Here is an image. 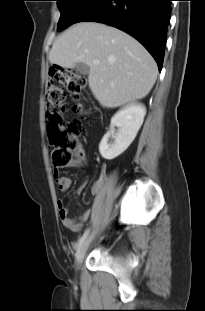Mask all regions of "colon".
I'll return each mask as SVG.
<instances>
[{
    "label": "colon",
    "mask_w": 205,
    "mask_h": 311,
    "mask_svg": "<svg viewBox=\"0 0 205 311\" xmlns=\"http://www.w3.org/2000/svg\"><path fill=\"white\" fill-rule=\"evenodd\" d=\"M85 84L86 80L73 71L59 67L49 69L45 113L48 121L47 134L53 147L52 161L55 167L65 166L71 161L84 135V126L80 120L64 117L66 98L64 88L74 99L73 111L85 115L86 110L80 102Z\"/></svg>",
    "instance_id": "colon-1"
}]
</instances>
